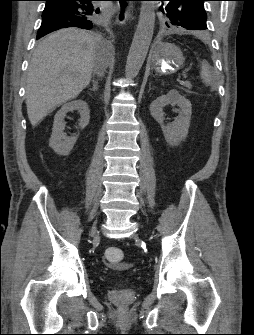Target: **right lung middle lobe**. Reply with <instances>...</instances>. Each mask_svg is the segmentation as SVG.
Returning <instances> with one entry per match:
<instances>
[{
	"mask_svg": "<svg viewBox=\"0 0 254 335\" xmlns=\"http://www.w3.org/2000/svg\"><path fill=\"white\" fill-rule=\"evenodd\" d=\"M99 11H100V9H95L94 14L92 15V19H93V20L98 19V13H99Z\"/></svg>",
	"mask_w": 254,
	"mask_h": 335,
	"instance_id": "obj_1",
	"label": "right lung middle lobe"
}]
</instances>
